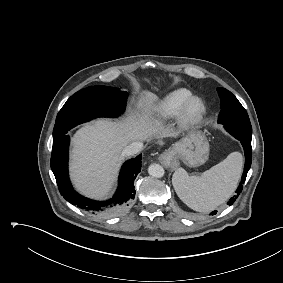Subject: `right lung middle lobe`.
Here are the masks:
<instances>
[{"label":"right lung middle lobe","mask_w":283,"mask_h":283,"mask_svg":"<svg viewBox=\"0 0 283 283\" xmlns=\"http://www.w3.org/2000/svg\"><path fill=\"white\" fill-rule=\"evenodd\" d=\"M128 93L106 86H91L72 95L59 111L53 140L78 124L97 117H117L125 109Z\"/></svg>","instance_id":"right-lung-middle-lobe-1"}]
</instances>
